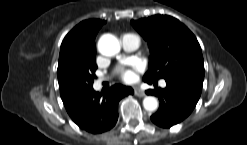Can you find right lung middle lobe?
<instances>
[{
  "mask_svg": "<svg viewBox=\"0 0 247 145\" xmlns=\"http://www.w3.org/2000/svg\"><path fill=\"white\" fill-rule=\"evenodd\" d=\"M96 69L95 57L75 53L60 54L57 75L62 100L93 88Z\"/></svg>",
  "mask_w": 247,
  "mask_h": 145,
  "instance_id": "right-lung-middle-lobe-1",
  "label": "right lung middle lobe"
}]
</instances>
